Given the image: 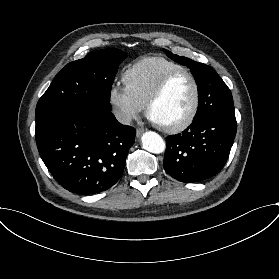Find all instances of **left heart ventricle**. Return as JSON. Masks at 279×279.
<instances>
[{
  "label": "left heart ventricle",
  "instance_id": "left-heart-ventricle-1",
  "mask_svg": "<svg viewBox=\"0 0 279 279\" xmlns=\"http://www.w3.org/2000/svg\"><path fill=\"white\" fill-rule=\"evenodd\" d=\"M192 80L185 74L174 79L165 93L155 102L151 116L160 124L172 125L183 120L194 101Z\"/></svg>",
  "mask_w": 279,
  "mask_h": 279
}]
</instances>
